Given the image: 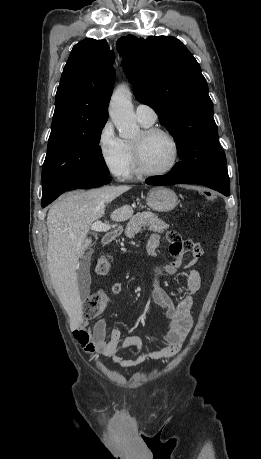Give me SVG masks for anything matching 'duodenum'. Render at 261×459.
Wrapping results in <instances>:
<instances>
[{
  "instance_id": "1",
  "label": "duodenum",
  "mask_w": 261,
  "mask_h": 459,
  "mask_svg": "<svg viewBox=\"0 0 261 459\" xmlns=\"http://www.w3.org/2000/svg\"><path fill=\"white\" fill-rule=\"evenodd\" d=\"M117 236H118V231L117 230L109 231L104 235L103 243L104 244H109L112 241H114Z\"/></svg>"
}]
</instances>
